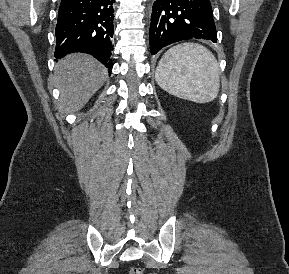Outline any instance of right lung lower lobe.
I'll use <instances>...</instances> for the list:
<instances>
[{
  "mask_svg": "<svg viewBox=\"0 0 289 274\" xmlns=\"http://www.w3.org/2000/svg\"><path fill=\"white\" fill-rule=\"evenodd\" d=\"M115 0H61L56 25L55 57L72 52L98 59L110 73Z\"/></svg>",
  "mask_w": 289,
  "mask_h": 274,
  "instance_id": "right-lung-lower-lobe-1",
  "label": "right lung lower lobe"
}]
</instances>
